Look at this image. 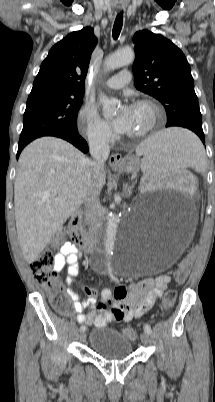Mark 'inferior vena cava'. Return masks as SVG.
<instances>
[{"label": "inferior vena cava", "mask_w": 215, "mask_h": 402, "mask_svg": "<svg viewBox=\"0 0 215 402\" xmlns=\"http://www.w3.org/2000/svg\"><path fill=\"white\" fill-rule=\"evenodd\" d=\"M89 151L93 160L90 161L92 182L90 194L85 201V221L96 230L99 222V195L98 176L104 168V163L108 159L110 153L108 135H101L89 139Z\"/></svg>", "instance_id": "obj_1"}]
</instances>
